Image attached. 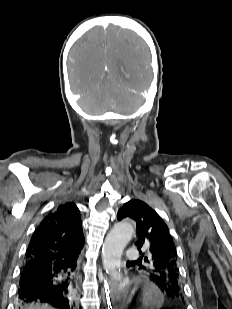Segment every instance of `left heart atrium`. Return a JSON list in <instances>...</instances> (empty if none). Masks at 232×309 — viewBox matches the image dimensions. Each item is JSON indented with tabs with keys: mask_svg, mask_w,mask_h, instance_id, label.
Returning <instances> with one entry per match:
<instances>
[{
	"mask_svg": "<svg viewBox=\"0 0 232 309\" xmlns=\"http://www.w3.org/2000/svg\"><path fill=\"white\" fill-rule=\"evenodd\" d=\"M121 295H122V292L120 290L114 292V297L116 299H119L121 297Z\"/></svg>",
	"mask_w": 232,
	"mask_h": 309,
	"instance_id": "39dd6f15",
	"label": "left heart atrium"
}]
</instances>
